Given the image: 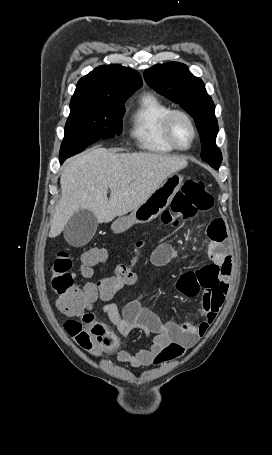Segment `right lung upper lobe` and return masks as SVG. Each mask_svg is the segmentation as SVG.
I'll use <instances>...</instances> for the list:
<instances>
[{
  "label": "right lung upper lobe",
  "instance_id": "obj_1",
  "mask_svg": "<svg viewBox=\"0 0 272 455\" xmlns=\"http://www.w3.org/2000/svg\"><path fill=\"white\" fill-rule=\"evenodd\" d=\"M141 85L142 79L133 69L118 64L99 66L79 80L70 106L124 104Z\"/></svg>",
  "mask_w": 272,
  "mask_h": 455
}]
</instances>
